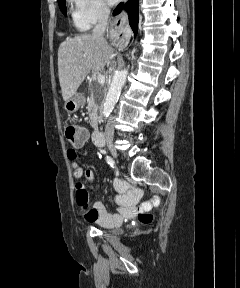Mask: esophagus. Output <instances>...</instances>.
<instances>
[{"mask_svg":"<svg viewBox=\"0 0 240 288\" xmlns=\"http://www.w3.org/2000/svg\"><path fill=\"white\" fill-rule=\"evenodd\" d=\"M126 21V14L122 12L117 16L110 26V37L114 42H119V35L122 33L123 26Z\"/></svg>","mask_w":240,"mask_h":288,"instance_id":"esophagus-1","label":"esophagus"}]
</instances>
